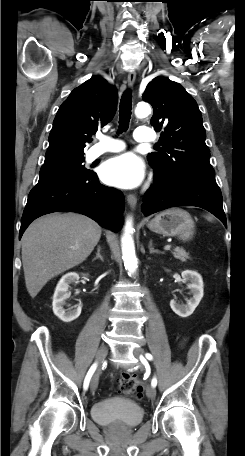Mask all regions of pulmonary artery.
Masks as SVG:
<instances>
[{
  "label": "pulmonary artery",
  "mask_w": 245,
  "mask_h": 456,
  "mask_svg": "<svg viewBox=\"0 0 245 456\" xmlns=\"http://www.w3.org/2000/svg\"><path fill=\"white\" fill-rule=\"evenodd\" d=\"M134 139L137 142H151L155 139L154 132L147 127H138L134 132ZM98 143L88 153L89 160H94L106 153L119 152L125 148L123 142L100 135Z\"/></svg>",
  "instance_id": "pulmonary-artery-1"
}]
</instances>
